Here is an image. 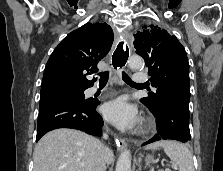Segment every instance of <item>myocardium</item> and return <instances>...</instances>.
I'll use <instances>...</instances> for the list:
<instances>
[{
	"mask_svg": "<svg viewBox=\"0 0 223 171\" xmlns=\"http://www.w3.org/2000/svg\"><path fill=\"white\" fill-rule=\"evenodd\" d=\"M148 128V124L147 123H144L142 126H141V132H145Z\"/></svg>",
	"mask_w": 223,
	"mask_h": 171,
	"instance_id": "1",
	"label": "myocardium"
}]
</instances>
